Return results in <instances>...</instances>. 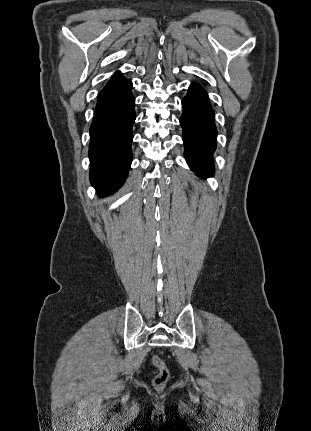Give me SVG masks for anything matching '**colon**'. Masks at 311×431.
Wrapping results in <instances>:
<instances>
[{"label": "colon", "mask_w": 311, "mask_h": 431, "mask_svg": "<svg viewBox=\"0 0 311 431\" xmlns=\"http://www.w3.org/2000/svg\"><path fill=\"white\" fill-rule=\"evenodd\" d=\"M152 363L158 370L154 378V385L157 388H162L165 386V384L169 379L168 367L166 363L158 355H154L152 357Z\"/></svg>", "instance_id": "obj_1"}]
</instances>
